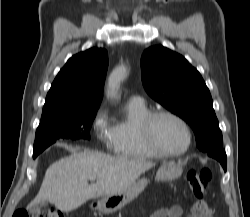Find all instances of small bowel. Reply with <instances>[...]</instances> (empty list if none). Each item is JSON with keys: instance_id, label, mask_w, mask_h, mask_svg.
Here are the masks:
<instances>
[{"instance_id": "c3829d8e", "label": "small bowel", "mask_w": 250, "mask_h": 217, "mask_svg": "<svg viewBox=\"0 0 250 217\" xmlns=\"http://www.w3.org/2000/svg\"><path fill=\"white\" fill-rule=\"evenodd\" d=\"M183 209L179 205H174L170 208H161L156 210L151 217H182ZM189 217H205L197 213L195 205L190 208Z\"/></svg>"}]
</instances>
